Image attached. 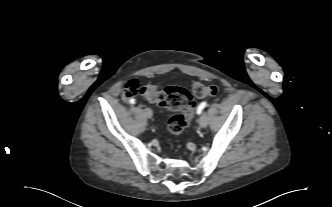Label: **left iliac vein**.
Masks as SVG:
<instances>
[{"instance_id":"4c4485c4","label":"left iliac vein","mask_w":332,"mask_h":207,"mask_svg":"<svg viewBox=\"0 0 332 207\" xmlns=\"http://www.w3.org/2000/svg\"><path fill=\"white\" fill-rule=\"evenodd\" d=\"M198 123L201 127H206L208 124V116L206 114H202L198 120Z\"/></svg>"}]
</instances>
